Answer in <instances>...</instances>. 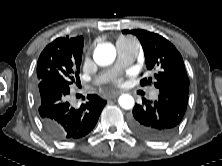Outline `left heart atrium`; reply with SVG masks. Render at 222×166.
<instances>
[{
    "label": "left heart atrium",
    "mask_w": 222,
    "mask_h": 166,
    "mask_svg": "<svg viewBox=\"0 0 222 166\" xmlns=\"http://www.w3.org/2000/svg\"><path fill=\"white\" fill-rule=\"evenodd\" d=\"M120 82H121V78H117L116 83H120Z\"/></svg>",
    "instance_id": "obj_1"
}]
</instances>
